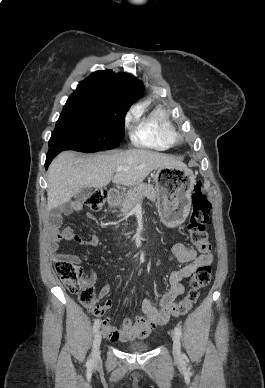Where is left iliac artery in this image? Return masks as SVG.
<instances>
[{
	"instance_id": "44dca946",
	"label": "left iliac artery",
	"mask_w": 265,
	"mask_h": 388,
	"mask_svg": "<svg viewBox=\"0 0 265 388\" xmlns=\"http://www.w3.org/2000/svg\"><path fill=\"white\" fill-rule=\"evenodd\" d=\"M175 333H176L179 337H181V336H182V330H181V328L178 327V326H176V327H175Z\"/></svg>"
}]
</instances>
